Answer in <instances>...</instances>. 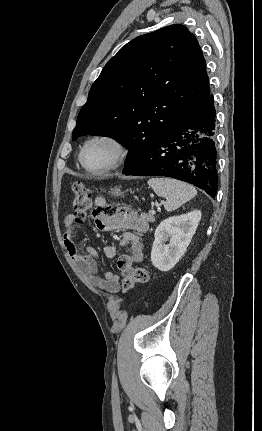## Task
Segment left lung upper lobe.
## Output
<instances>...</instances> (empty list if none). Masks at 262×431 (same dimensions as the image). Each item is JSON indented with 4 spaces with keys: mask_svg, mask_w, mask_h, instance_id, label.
<instances>
[{
    "mask_svg": "<svg viewBox=\"0 0 262 431\" xmlns=\"http://www.w3.org/2000/svg\"><path fill=\"white\" fill-rule=\"evenodd\" d=\"M210 94L195 36L171 25L141 35L111 58L80 110L72 140L109 136L129 149L126 168Z\"/></svg>",
    "mask_w": 262,
    "mask_h": 431,
    "instance_id": "1",
    "label": "left lung upper lobe"
}]
</instances>
